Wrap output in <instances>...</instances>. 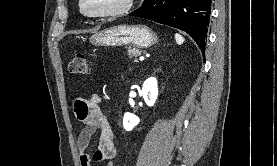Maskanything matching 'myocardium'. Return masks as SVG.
Returning <instances> with one entry per match:
<instances>
[{"label": "myocardium", "instance_id": "1", "mask_svg": "<svg viewBox=\"0 0 277 166\" xmlns=\"http://www.w3.org/2000/svg\"><path fill=\"white\" fill-rule=\"evenodd\" d=\"M133 3H134V0H124L123 4L118 7H114V8L98 11V12H88L84 8V0H78V7L80 10V13L88 18H107V17H118L128 13L132 8Z\"/></svg>", "mask_w": 277, "mask_h": 166}]
</instances>
